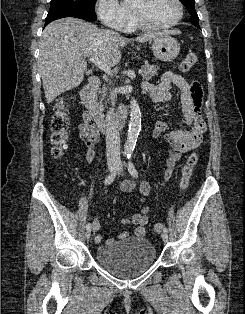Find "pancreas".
Instances as JSON below:
<instances>
[{
    "label": "pancreas",
    "instance_id": "obj_1",
    "mask_svg": "<svg viewBox=\"0 0 245 314\" xmlns=\"http://www.w3.org/2000/svg\"><path fill=\"white\" fill-rule=\"evenodd\" d=\"M141 69L143 71L142 72V79L143 80H150V79H152V77L158 75L159 67L145 63L144 65L141 66ZM101 93H102V97L104 98L106 94L104 93V91Z\"/></svg>",
    "mask_w": 245,
    "mask_h": 314
}]
</instances>
